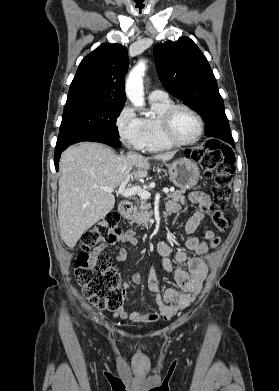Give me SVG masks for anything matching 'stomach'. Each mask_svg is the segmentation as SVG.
<instances>
[{"label":"stomach","instance_id":"stomach-1","mask_svg":"<svg viewBox=\"0 0 279 391\" xmlns=\"http://www.w3.org/2000/svg\"><path fill=\"white\" fill-rule=\"evenodd\" d=\"M166 167L171 181L181 190H189L197 185L200 171L192 160L180 158L171 164H167Z\"/></svg>","mask_w":279,"mask_h":391}]
</instances>
